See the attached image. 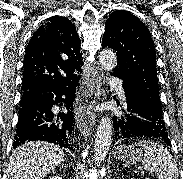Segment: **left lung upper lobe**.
I'll return each mask as SVG.
<instances>
[{
  "label": "left lung upper lobe",
  "instance_id": "5c2ea615",
  "mask_svg": "<svg viewBox=\"0 0 183 179\" xmlns=\"http://www.w3.org/2000/svg\"><path fill=\"white\" fill-rule=\"evenodd\" d=\"M102 47L117 54L111 73L121 78L134 96L163 120L154 43L145 24L133 14L117 10L107 19Z\"/></svg>",
  "mask_w": 183,
  "mask_h": 179
}]
</instances>
